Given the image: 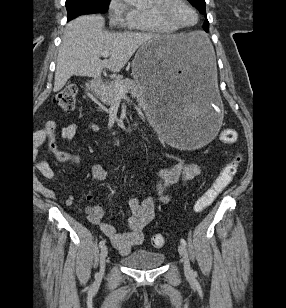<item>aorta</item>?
I'll list each match as a JSON object with an SVG mask.
<instances>
[{"label": "aorta", "instance_id": "aorta-1", "mask_svg": "<svg viewBox=\"0 0 286 308\" xmlns=\"http://www.w3.org/2000/svg\"><path fill=\"white\" fill-rule=\"evenodd\" d=\"M126 3H130V4H136V3H140L143 0H124Z\"/></svg>", "mask_w": 286, "mask_h": 308}]
</instances>
